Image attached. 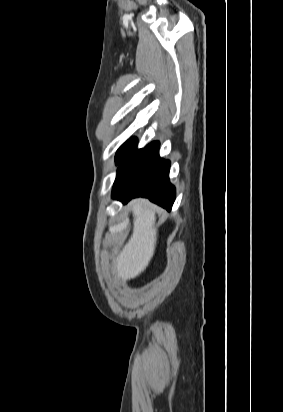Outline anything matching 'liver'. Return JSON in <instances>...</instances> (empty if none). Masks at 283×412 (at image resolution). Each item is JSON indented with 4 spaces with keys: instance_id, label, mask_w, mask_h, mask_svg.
Masks as SVG:
<instances>
[{
    "instance_id": "6515ba94",
    "label": "liver",
    "mask_w": 283,
    "mask_h": 412,
    "mask_svg": "<svg viewBox=\"0 0 283 412\" xmlns=\"http://www.w3.org/2000/svg\"><path fill=\"white\" fill-rule=\"evenodd\" d=\"M133 233L115 261V272L122 281L141 274L149 265L157 242L156 209L145 200L131 202Z\"/></svg>"
}]
</instances>
